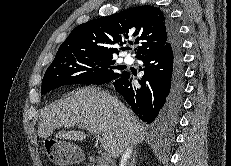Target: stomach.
<instances>
[{
	"label": "stomach",
	"mask_w": 231,
	"mask_h": 166,
	"mask_svg": "<svg viewBox=\"0 0 231 166\" xmlns=\"http://www.w3.org/2000/svg\"><path fill=\"white\" fill-rule=\"evenodd\" d=\"M44 148L50 160L59 166L77 164L85 157L79 145L65 140L48 139L44 141Z\"/></svg>",
	"instance_id": "obj_1"
}]
</instances>
